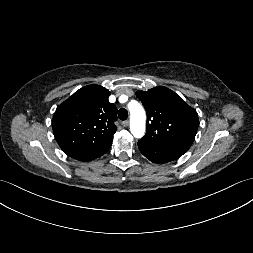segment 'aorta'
<instances>
[{
    "mask_svg": "<svg viewBox=\"0 0 253 253\" xmlns=\"http://www.w3.org/2000/svg\"><path fill=\"white\" fill-rule=\"evenodd\" d=\"M128 108L130 111V131L135 138H142L145 134V110L136 101L130 102Z\"/></svg>",
    "mask_w": 253,
    "mask_h": 253,
    "instance_id": "obj_1",
    "label": "aorta"
}]
</instances>
